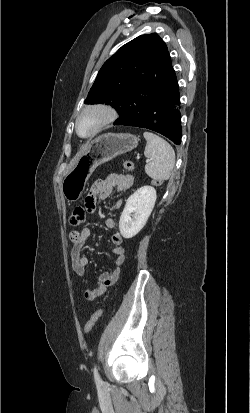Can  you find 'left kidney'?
<instances>
[{"label": "left kidney", "instance_id": "left-kidney-1", "mask_svg": "<svg viewBox=\"0 0 250 413\" xmlns=\"http://www.w3.org/2000/svg\"><path fill=\"white\" fill-rule=\"evenodd\" d=\"M156 191L152 186H143L136 190L126 201L119 221L121 235L130 239L146 224L156 201ZM134 213L133 217L131 214Z\"/></svg>", "mask_w": 250, "mask_h": 413}]
</instances>
